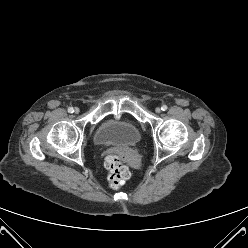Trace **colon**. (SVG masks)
Masks as SVG:
<instances>
[{"label":"colon","mask_w":248,"mask_h":248,"mask_svg":"<svg viewBox=\"0 0 248 248\" xmlns=\"http://www.w3.org/2000/svg\"><path fill=\"white\" fill-rule=\"evenodd\" d=\"M105 166L109 172L108 181L111 187L118 188L129 178V170L119 156L115 154L108 155L105 160Z\"/></svg>","instance_id":"colon-1"}]
</instances>
